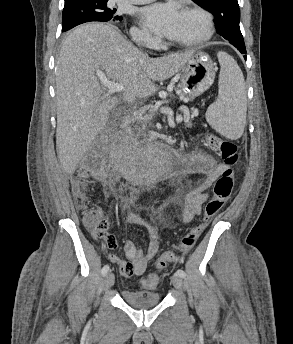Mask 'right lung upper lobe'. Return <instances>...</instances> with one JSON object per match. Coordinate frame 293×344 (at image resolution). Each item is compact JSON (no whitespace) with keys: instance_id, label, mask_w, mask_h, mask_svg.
<instances>
[{"instance_id":"1","label":"right lung upper lobe","mask_w":293,"mask_h":344,"mask_svg":"<svg viewBox=\"0 0 293 344\" xmlns=\"http://www.w3.org/2000/svg\"><path fill=\"white\" fill-rule=\"evenodd\" d=\"M73 1H77V0H65V3H69V2H73Z\"/></svg>"}]
</instances>
